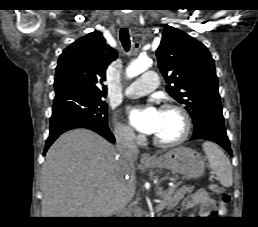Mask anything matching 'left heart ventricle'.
Instances as JSON below:
<instances>
[{
    "instance_id": "obj_1",
    "label": "left heart ventricle",
    "mask_w": 258,
    "mask_h": 227,
    "mask_svg": "<svg viewBox=\"0 0 258 227\" xmlns=\"http://www.w3.org/2000/svg\"><path fill=\"white\" fill-rule=\"evenodd\" d=\"M183 122L180 115L175 111H160V120L154 133L159 139L170 141L181 135Z\"/></svg>"
}]
</instances>
